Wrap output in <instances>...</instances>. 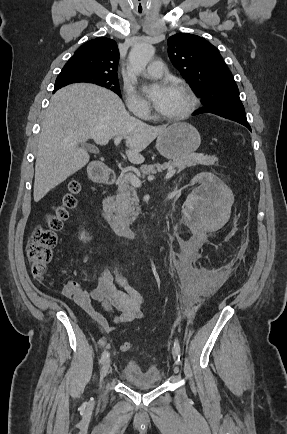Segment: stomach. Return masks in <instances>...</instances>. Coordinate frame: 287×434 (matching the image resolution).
I'll use <instances>...</instances> for the list:
<instances>
[{
	"instance_id": "obj_1",
	"label": "stomach",
	"mask_w": 287,
	"mask_h": 434,
	"mask_svg": "<svg viewBox=\"0 0 287 434\" xmlns=\"http://www.w3.org/2000/svg\"><path fill=\"white\" fill-rule=\"evenodd\" d=\"M201 143L195 127L179 122L167 127L158 137L156 148L167 159H178L194 153Z\"/></svg>"
}]
</instances>
